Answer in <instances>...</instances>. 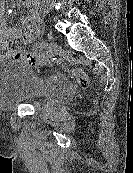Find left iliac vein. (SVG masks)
<instances>
[{
	"label": "left iliac vein",
	"mask_w": 133,
	"mask_h": 173,
	"mask_svg": "<svg viewBox=\"0 0 133 173\" xmlns=\"http://www.w3.org/2000/svg\"><path fill=\"white\" fill-rule=\"evenodd\" d=\"M58 51H59V46L57 42H55L54 40L50 41L48 46V55H47L48 60L56 56L58 54Z\"/></svg>",
	"instance_id": "left-iliac-vein-1"
}]
</instances>
